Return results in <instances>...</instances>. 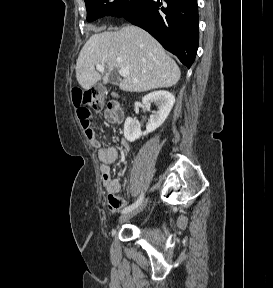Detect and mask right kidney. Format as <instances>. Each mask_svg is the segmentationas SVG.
Segmentation results:
<instances>
[{
	"label": "right kidney",
	"mask_w": 273,
	"mask_h": 288,
	"mask_svg": "<svg viewBox=\"0 0 273 288\" xmlns=\"http://www.w3.org/2000/svg\"><path fill=\"white\" fill-rule=\"evenodd\" d=\"M142 103L146 109L150 108L151 103L157 106V111L150 116L149 123L144 132L140 125L131 117H128L124 123V137L129 142H134L141 136H145L159 128L167 119L174 103L175 97L168 91H155L143 97Z\"/></svg>",
	"instance_id": "ca27d5eb"
}]
</instances>
